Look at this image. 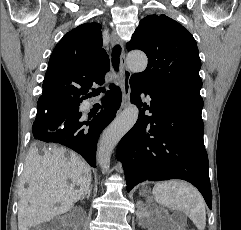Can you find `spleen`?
<instances>
[{"label":"spleen","mask_w":241,"mask_h":230,"mask_svg":"<svg viewBox=\"0 0 241 230\" xmlns=\"http://www.w3.org/2000/svg\"><path fill=\"white\" fill-rule=\"evenodd\" d=\"M152 193L157 203L169 209L182 210L199 230H204L205 202L193 186L181 181H165L157 183Z\"/></svg>","instance_id":"spleen-1"}]
</instances>
